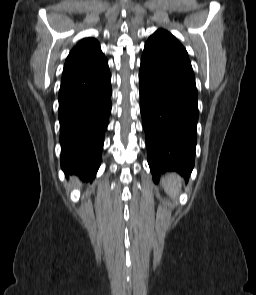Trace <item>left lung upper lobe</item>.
Here are the masks:
<instances>
[{"instance_id": "1", "label": "left lung upper lobe", "mask_w": 256, "mask_h": 295, "mask_svg": "<svg viewBox=\"0 0 256 295\" xmlns=\"http://www.w3.org/2000/svg\"><path fill=\"white\" fill-rule=\"evenodd\" d=\"M141 64L176 80L195 85L186 49L169 32L157 30L145 43Z\"/></svg>"}]
</instances>
